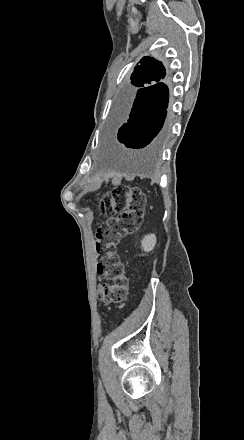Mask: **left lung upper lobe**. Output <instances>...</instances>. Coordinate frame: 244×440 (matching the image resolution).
<instances>
[{"label": "left lung upper lobe", "mask_w": 244, "mask_h": 440, "mask_svg": "<svg viewBox=\"0 0 244 440\" xmlns=\"http://www.w3.org/2000/svg\"><path fill=\"white\" fill-rule=\"evenodd\" d=\"M166 71L161 62L151 57H143L140 65L135 67L131 75V84L134 87H145L162 80Z\"/></svg>", "instance_id": "left-lung-upper-lobe-1"}]
</instances>
